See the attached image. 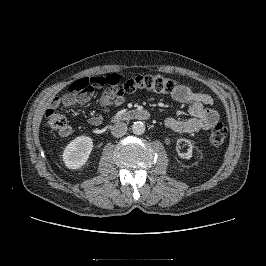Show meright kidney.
Wrapping results in <instances>:
<instances>
[{"instance_id":"right-kidney-1","label":"right kidney","mask_w":266,"mask_h":266,"mask_svg":"<svg viewBox=\"0 0 266 266\" xmlns=\"http://www.w3.org/2000/svg\"><path fill=\"white\" fill-rule=\"evenodd\" d=\"M93 141L90 137L79 136L72 140L65 148L62 159L69 169H78L83 166L91 154Z\"/></svg>"}]
</instances>
